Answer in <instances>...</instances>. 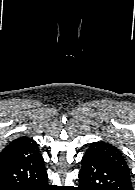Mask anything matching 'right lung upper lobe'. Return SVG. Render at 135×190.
Instances as JSON below:
<instances>
[{"instance_id":"cb5924a9","label":"right lung upper lobe","mask_w":135,"mask_h":190,"mask_svg":"<svg viewBox=\"0 0 135 190\" xmlns=\"http://www.w3.org/2000/svg\"><path fill=\"white\" fill-rule=\"evenodd\" d=\"M37 143L25 136L13 140L0 154V162L18 158H31L39 155Z\"/></svg>"}]
</instances>
